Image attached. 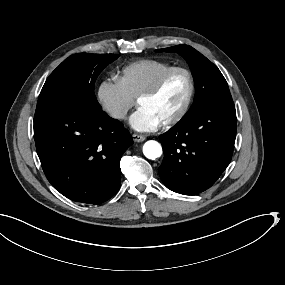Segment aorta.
Wrapping results in <instances>:
<instances>
[{"label": "aorta", "mask_w": 285, "mask_h": 285, "mask_svg": "<svg viewBox=\"0 0 285 285\" xmlns=\"http://www.w3.org/2000/svg\"><path fill=\"white\" fill-rule=\"evenodd\" d=\"M143 153L148 159L156 160L162 155V147L156 141H148L143 146Z\"/></svg>", "instance_id": "aorta-1"}]
</instances>
